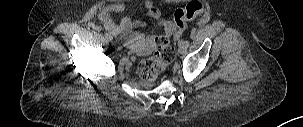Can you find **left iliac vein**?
<instances>
[{"mask_svg":"<svg viewBox=\"0 0 303 127\" xmlns=\"http://www.w3.org/2000/svg\"><path fill=\"white\" fill-rule=\"evenodd\" d=\"M178 45H179V48H178L179 52L180 53H185L186 50H187V48H188L187 45H186V43H185V41L180 40L179 43H178Z\"/></svg>","mask_w":303,"mask_h":127,"instance_id":"4c4485c4","label":"left iliac vein"}]
</instances>
